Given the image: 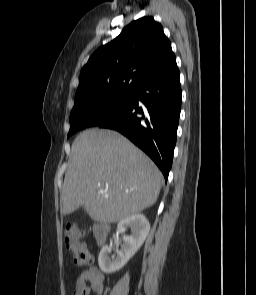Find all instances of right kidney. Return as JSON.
I'll return each mask as SVG.
<instances>
[{"label":"right kidney","instance_id":"1","mask_svg":"<svg viewBox=\"0 0 256 295\" xmlns=\"http://www.w3.org/2000/svg\"><path fill=\"white\" fill-rule=\"evenodd\" d=\"M128 227L132 234L123 236V244L116 249V254L110 257L111 248L107 245L101 249L98 263L102 272L111 274L119 271L142 246L150 230V224L143 214H135L118 222L120 233H124Z\"/></svg>","mask_w":256,"mask_h":295}]
</instances>
